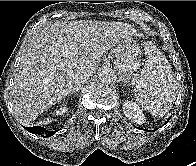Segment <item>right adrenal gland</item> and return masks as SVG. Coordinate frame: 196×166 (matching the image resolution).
Here are the masks:
<instances>
[{
    "label": "right adrenal gland",
    "mask_w": 196,
    "mask_h": 166,
    "mask_svg": "<svg viewBox=\"0 0 196 166\" xmlns=\"http://www.w3.org/2000/svg\"><path fill=\"white\" fill-rule=\"evenodd\" d=\"M80 89H82V85L74 86V88H72V90H71V92L69 94L73 95V93L79 92Z\"/></svg>",
    "instance_id": "2a0ac1e0"
}]
</instances>
